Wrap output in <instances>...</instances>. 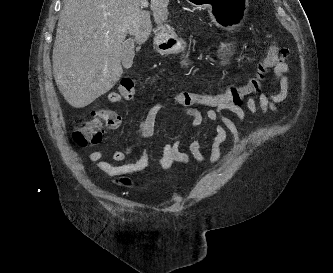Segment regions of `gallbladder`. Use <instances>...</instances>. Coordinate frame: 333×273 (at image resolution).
I'll use <instances>...</instances> for the list:
<instances>
[{
  "label": "gallbladder",
  "mask_w": 333,
  "mask_h": 273,
  "mask_svg": "<svg viewBox=\"0 0 333 273\" xmlns=\"http://www.w3.org/2000/svg\"><path fill=\"white\" fill-rule=\"evenodd\" d=\"M134 39H128L122 44L121 62L125 69L132 67L134 59Z\"/></svg>",
  "instance_id": "gallbladder-1"
}]
</instances>
